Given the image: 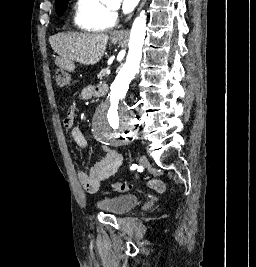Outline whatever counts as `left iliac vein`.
Wrapping results in <instances>:
<instances>
[{"mask_svg": "<svg viewBox=\"0 0 256 267\" xmlns=\"http://www.w3.org/2000/svg\"><path fill=\"white\" fill-rule=\"evenodd\" d=\"M139 164L145 167L148 164V159L145 155H141L139 158Z\"/></svg>", "mask_w": 256, "mask_h": 267, "instance_id": "obj_1", "label": "left iliac vein"}]
</instances>
